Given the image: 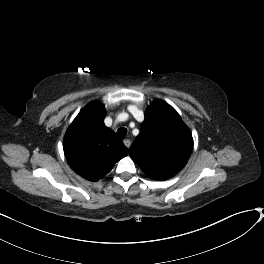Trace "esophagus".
<instances>
[{
	"label": "esophagus",
	"mask_w": 264,
	"mask_h": 264,
	"mask_svg": "<svg viewBox=\"0 0 264 264\" xmlns=\"http://www.w3.org/2000/svg\"><path fill=\"white\" fill-rule=\"evenodd\" d=\"M123 142H124V144H125L126 147H130L131 141L129 139H124Z\"/></svg>",
	"instance_id": "obj_1"
}]
</instances>
